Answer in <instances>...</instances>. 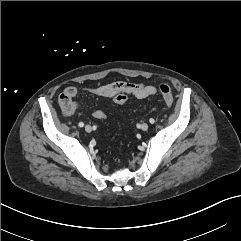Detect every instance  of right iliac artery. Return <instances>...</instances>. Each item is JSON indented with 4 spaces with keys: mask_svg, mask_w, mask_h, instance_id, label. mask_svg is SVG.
Returning <instances> with one entry per match:
<instances>
[{
    "mask_svg": "<svg viewBox=\"0 0 241 241\" xmlns=\"http://www.w3.org/2000/svg\"><path fill=\"white\" fill-rule=\"evenodd\" d=\"M79 127H83L84 126V123L83 122H79Z\"/></svg>",
    "mask_w": 241,
    "mask_h": 241,
    "instance_id": "obj_1",
    "label": "right iliac artery"
}]
</instances>
